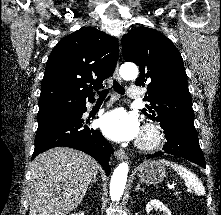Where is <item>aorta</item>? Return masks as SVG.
<instances>
[{
  "mask_svg": "<svg viewBox=\"0 0 221 215\" xmlns=\"http://www.w3.org/2000/svg\"><path fill=\"white\" fill-rule=\"evenodd\" d=\"M138 68L133 63H125L120 67V75L125 80H134L138 77ZM129 166L126 162L120 163L114 170L110 183V196L113 202H118L124 192Z\"/></svg>",
  "mask_w": 221,
  "mask_h": 215,
  "instance_id": "aorta-1",
  "label": "aorta"
}]
</instances>
